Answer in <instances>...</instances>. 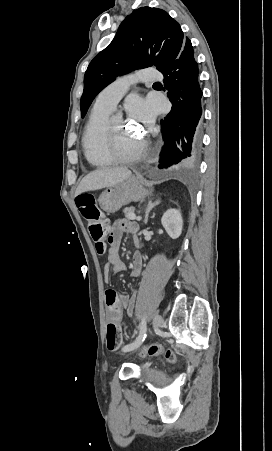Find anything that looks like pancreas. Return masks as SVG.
<instances>
[{"mask_svg":"<svg viewBox=\"0 0 272 451\" xmlns=\"http://www.w3.org/2000/svg\"><path fill=\"white\" fill-rule=\"evenodd\" d=\"M134 210H135V208H133V206H131V208H125V210H123V212H124L126 218H128V220H129L130 214H134Z\"/></svg>","mask_w":272,"mask_h":451,"instance_id":"pancreas-1","label":"pancreas"}]
</instances>
